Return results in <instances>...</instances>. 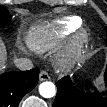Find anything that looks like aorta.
<instances>
[{
  "label": "aorta",
  "instance_id": "aorta-1",
  "mask_svg": "<svg viewBox=\"0 0 107 107\" xmlns=\"http://www.w3.org/2000/svg\"><path fill=\"white\" fill-rule=\"evenodd\" d=\"M39 93L44 98H52L56 94V87L52 82H43L39 86Z\"/></svg>",
  "mask_w": 107,
  "mask_h": 107
}]
</instances>
